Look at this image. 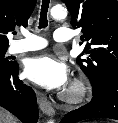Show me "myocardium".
I'll return each mask as SVG.
<instances>
[{"label":"myocardium","instance_id":"f54148a6","mask_svg":"<svg viewBox=\"0 0 118 123\" xmlns=\"http://www.w3.org/2000/svg\"><path fill=\"white\" fill-rule=\"evenodd\" d=\"M89 93V86L83 79H75L61 94V99L70 104L82 102Z\"/></svg>","mask_w":118,"mask_h":123}]
</instances>
